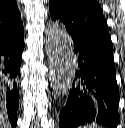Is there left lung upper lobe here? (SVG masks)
<instances>
[{"instance_id": "5c2ea615", "label": "left lung upper lobe", "mask_w": 125, "mask_h": 128, "mask_svg": "<svg viewBox=\"0 0 125 128\" xmlns=\"http://www.w3.org/2000/svg\"><path fill=\"white\" fill-rule=\"evenodd\" d=\"M50 15L63 22L72 37L112 48L108 26L96 0H50Z\"/></svg>"}]
</instances>
